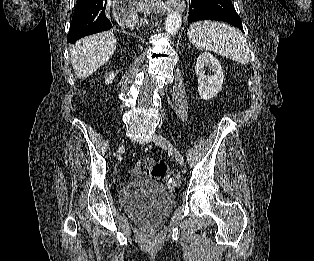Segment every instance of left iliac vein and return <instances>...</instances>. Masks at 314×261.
Instances as JSON below:
<instances>
[{
  "instance_id": "1",
  "label": "left iliac vein",
  "mask_w": 314,
  "mask_h": 261,
  "mask_svg": "<svg viewBox=\"0 0 314 261\" xmlns=\"http://www.w3.org/2000/svg\"><path fill=\"white\" fill-rule=\"evenodd\" d=\"M155 144L167 149L176 159V161L182 166L184 165V158L181 152L164 136L157 134L154 139Z\"/></svg>"
}]
</instances>
